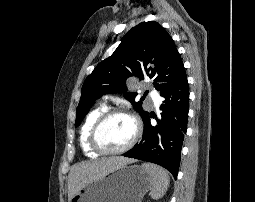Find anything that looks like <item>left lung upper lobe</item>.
Here are the masks:
<instances>
[{"label":"left lung upper lobe","instance_id":"5c2ea615","mask_svg":"<svg viewBox=\"0 0 255 202\" xmlns=\"http://www.w3.org/2000/svg\"><path fill=\"white\" fill-rule=\"evenodd\" d=\"M184 72L180 54L166 30L157 22H142L133 27L114 53L86 78L76 109L75 126L103 94L126 92V79L130 76H138L141 80L144 76L152 78L154 87L163 93ZM136 95V92L124 94L143 119L148 112L143 110L142 102H135Z\"/></svg>","mask_w":255,"mask_h":202}]
</instances>
